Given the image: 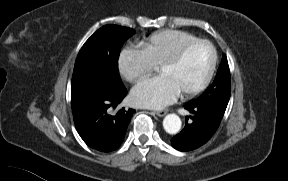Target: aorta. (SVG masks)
Wrapping results in <instances>:
<instances>
[{
	"label": "aorta",
	"mask_w": 288,
	"mask_h": 181,
	"mask_svg": "<svg viewBox=\"0 0 288 181\" xmlns=\"http://www.w3.org/2000/svg\"><path fill=\"white\" fill-rule=\"evenodd\" d=\"M181 125L182 122L180 117L174 113L166 115L163 120L164 130L169 134L178 133L181 129Z\"/></svg>",
	"instance_id": "762f6f07"
}]
</instances>
